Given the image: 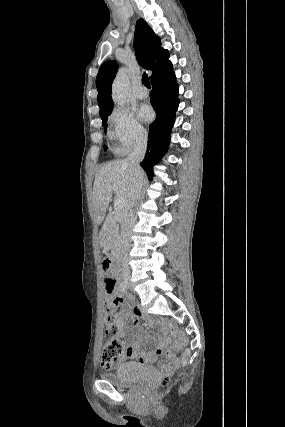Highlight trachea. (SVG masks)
Segmentation results:
<instances>
[{
	"instance_id": "obj_1",
	"label": "trachea",
	"mask_w": 285,
	"mask_h": 427,
	"mask_svg": "<svg viewBox=\"0 0 285 427\" xmlns=\"http://www.w3.org/2000/svg\"><path fill=\"white\" fill-rule=\"evenodd\" d=\"M142 82H143V84L147 87V88H151V85H150V82H149V78H148V76H147V74L146 73H144L143 74V76H142Z\"/></svg>"
}]
</instances>
